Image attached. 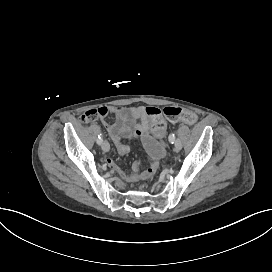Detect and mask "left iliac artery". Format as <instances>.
I'll list each match as a JSON object with an SVG mask.
<instances>
[{
  "label": "left iliac artery",
  "instance_id": "obj_1",
  "mask_svg": "<svg viewBox=\"0 0 272 272\" xmlns=\"http://www.w3.org/2000/svg\"><path fill=\"white\" fill-rule=\"evenodd\" d=\"M169 142H171L172 144L175 142V135L172 133L169 135Z\"/></svg>",
  "mask_w": 272,
  "mask_h": 272
}]
</instances>
